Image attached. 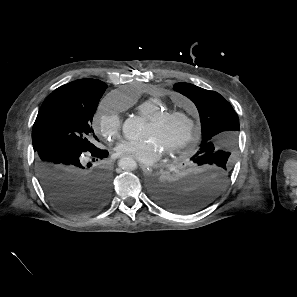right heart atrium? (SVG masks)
<instances>
[{"label": "right heart atrium", "mask_w": 297, "mask_h": 297, "mask_svg": "<svg viewBox=\"0 0 297 297\" xmlns=\"http://www.w3.org/2000/svg\"><path fill=\"white\" fill-rule=\"evenodd\" d=\"M122 109L112 94L105 96L98 107L95 115L96 127L108 140H113L120 134Z\"/></svg>", "instance_id": "1"}]
</instances>
